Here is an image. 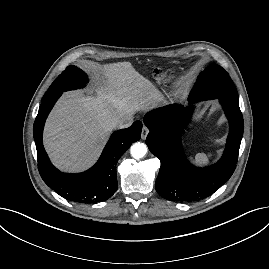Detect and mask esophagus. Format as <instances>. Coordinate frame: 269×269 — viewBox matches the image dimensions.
I'll list each match as a JSON object with an SVG mask.
<instances>
[{
	"instance_id": "1",
	"label": "esophagus",
	"mask_w": 269,
	"mask_h": 269,
	"mask_svg": "<svg viewBox=\"0 0 269 269\" xmlns=\"http://www.w3.org/2000/svg\"><path fill=\"white\" fill-rule=\"evenodd\" d=\"M148 133H149V129L146 126H143L142 132H141V138L143 140H145L146 137H147V135H148Z\"/></svg>"
}]
</instances>
